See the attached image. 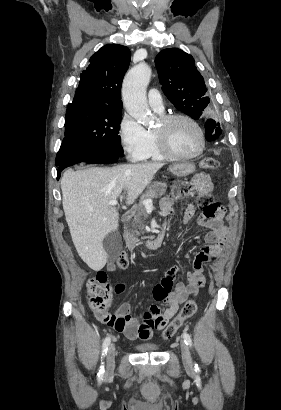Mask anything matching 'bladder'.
Instances as JSON below:
<instances>
[{
	"label": "bladder",
	"mask_w": 281,
	"mask_h": 410,
	"mask_svg": "<svg viewBox=\"0 0 281 410\" xmlns=\"http://www.w3.org/2000/svg\"><path fill=\"white\" fill-rule=\"evenodd\" d=\"M134 349L138 353H155L159 351L160 346L155 343H143V344H136Z\"/></svg>",
	"instance_id": "bladder-1"
}]
</instances>
